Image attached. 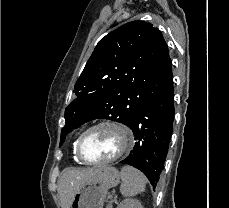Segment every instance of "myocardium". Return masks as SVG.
<instances>
[{
  "mask_svg": "<svg viewBox=\"0 0 229 208\" xmlns=\"http://www.w3.org/2000/svg\"><path fill=\"white\" fill-rule=\"evenodd\" d=\"M103 126H109L118 129L115 130L114 132L115 135H118L116 142L118 143L119 147H123V148L116 155L110 157V160H87V157H85V154L83 153V147H84L83 139L88 132ZM133 143H134L133 135L126 126L116 121H110V120L100 121L85 129L78 137L77 145H76L77 158H80L83 162L88 164L111 163L123 157L132 148Z\"/></svg>",
  "mask_w": 229,
  "mask_h": 208,
  "instance_id": "f54148a6",
  "label": "myocardium"
}]
</instances>
